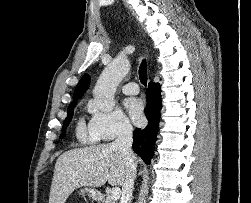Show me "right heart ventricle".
Segmentation results:
<instances>
[{"mask_svg": "<svg viewBox=\"0 0 251 203\" xmlns=\"http://www.w3.org/2000/svg\"><path fill=\"white\" fill-rule=\"evenodd\" d=\"M76 138L79 142L83 144H93L98 141V137L87 128L83 119H80L76 125L75 130Z\"/></svg>", "mask_w": 251, "mask_h": 203, "instance_id": "e07e8e85", "label": "right heart ventricle"}]
</instances>
